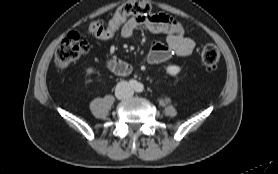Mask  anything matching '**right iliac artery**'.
<instances>
[{
	"mask_svg": "<svg viewBox=\"0 0 278 174\" xmlns=\"http://www.w3.org/2000/svg\"><path fill=\"white\" fill-rule=\"evenodd\" d=\"M129 85H130L132 88H136L137 85H138V83H137L135 80L131 79V80L129 81Z\"/></svg>",
	"mask_w": 278,
	"mask_h": 174,
	"instance_id": "right-iliac-artery-1",
	"label": "right iliac artery"
}]
</instances>
